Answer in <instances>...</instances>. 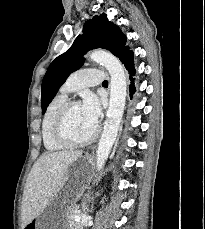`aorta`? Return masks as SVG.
Listing matches in <instances>:
<instances>
[{
    "instance_id": "1",
    "label": "aorta",
    "mask_w": 205,
    "mask_h": 229,
    "mask_svg": "<svg viewBox=\"0 0 205 229\" xmlns=\"http://www.w3.org/2000/svg\"><path fill=\"white\" fill-rule=\"evenodd\" d=\"M89 59L103 65L111 77L109 107L96 152L97 170H101L110 154L119 130L125 107L127 78L123 65L110 52L94 50L89 54Z\"/></svg>"
}]
</instances>
